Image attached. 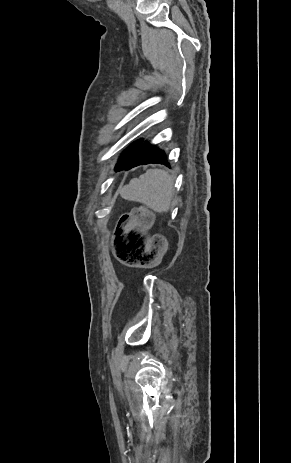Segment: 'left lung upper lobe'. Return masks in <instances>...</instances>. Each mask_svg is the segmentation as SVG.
<instances>
[{"instance_id":"left-lung-upper-lobe-1","label":"left lung upper lobe","mask_w":291,"mask_h":463,"mask_svg":"<svg viewBox=\"0 0 291 463\" xmlns=\"http://www.w3.org/2000/svg\"><path fill=\"white\" fill-rule=\"evenodd\" d=\"M142 144V141H137V142H134L130 147H128L124 153L122 154V157L125 156L126 154H128L129 152H131L132 150H134L135 148H137L139 145Z\"/></svg>"}]
</instances>
